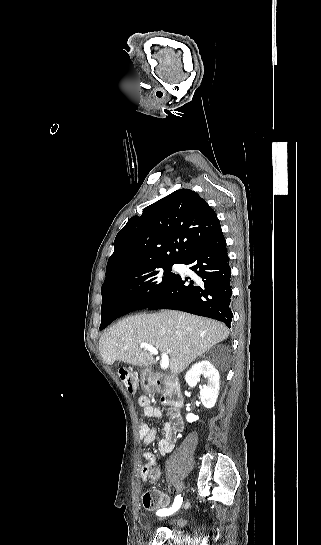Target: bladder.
I'll use <instances>...</instances> for the list:
<instances>
[{
  "label": "bladder",
  "instance_id": "bladder-1",
  "mask_svg": "<svg viewBox=\"0 0 321 545\" xmlns=\"http://www.w3.org/2000/svg\"><path fill=\"white\" fill-rule=\"evenodd\" d=\"M153 519L159 524H163L172 533L181 535L187 525V518L180 513L169 516H154Z\"/></svg>",
  "mask_w": 321,
  "mask_h": 545
}]
</instances>
